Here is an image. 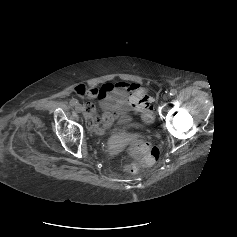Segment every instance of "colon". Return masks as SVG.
Returning a JSON list of instances; mask_svg holds the SVG:
<instances>
[{
	"mask_svg": "<svg viewBox=\"0 0 237 237\" xmlns=\"http://www.w3.org/2000/svg\"><path fill=\"white\" fill-rule=\"evenodd\" d=\"M143 119L151 122L153 119L152 107L148 104ZM129 152L134 161L128 166L130 172L137 171L139 166L153 165L159 158V150L156 146L143 140H135L131 143Z\"/></svg>",
	"mask_w": 237,
	"mask_h": 237,
	"instance_id": "obj_1",
	"label": "colon"
}]
</instances>
